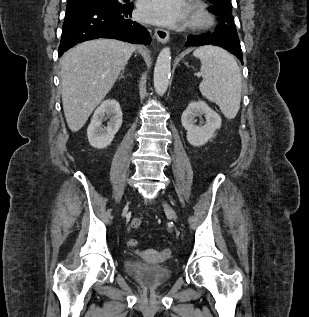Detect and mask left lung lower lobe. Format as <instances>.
<instances>
[{"label": "left lung lower lobe", "mask_w": 309, "mask_h": 317, "mask_svg": "<svg viewBox=\"0 0 309 317\" xmlns=\"http://www.w3.org/2000/svg\"><path fill=\"white\" fill-rule=\"evenodd\" d=\"M215 45L220 46L233 55H235L243 64V55L241 51L239 37L228 32H213L207 36H188L185 44L188 46Z\"/></svg>", "instance_id": "1"}]
</instances>
